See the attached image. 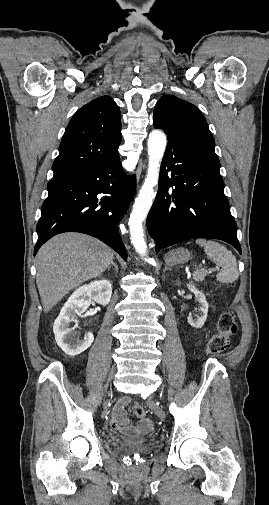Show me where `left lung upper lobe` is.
Segmentation results:
<instances>
[{
    "mask_svg": "<svg viewBox=\"0 0 269 505\" xmlns=\"http://www.w3.org/2000/svg\"><path fill=\"white\" fill-rule=\"evenodd\" d=\"M153 122L164 130H174L207 140L215 145L208 124L193 104L173 95L159 99L154 108Z\"/></svg>",
    "mask_w": 269,
    "mask_h": 505,
    "instance_id": "left-lung-upper-lobe-1",
    "label": "left lung upper lobe"
}]
</instances>
